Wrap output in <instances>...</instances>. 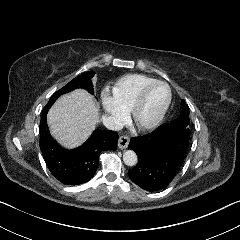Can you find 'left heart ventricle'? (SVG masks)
I'll return each instance as SVG.
<instances>
[{
    "label": "left heart ventricle",
    "mask_w": 240,
    "mask_h": 240,
    "mask_svg": "<svg viewBox=\"0 0 240 240\" xmlns=\"http://www.w3.org/2000/svg\"><path fill=\"white\" fill-rule=\"evenodd\" d=\"M166 88L155 86L147 96L144 107L140 113V119L145 121L155 115L166 98Z\"/></svg>",
    "instance_id": "obj_1"
}]
</instances>
